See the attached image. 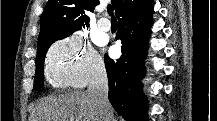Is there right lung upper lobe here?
Segmentation results:
<instances>
[{
    "mask_svg": "<svg viewBox=\"0 0 217 121\" xmlns=\"http://www.w3.org/2000/svg\"><path fill=\"white\" fill-rule=\"evenodd\" d=\"M116 15L127 5V0H111ZM99 0H49L40 22L38 45L62 39L82 26L88 27V11L93 12Z\"/></svg>",
    "mask_w": 217,
    "mask_h": 121,
    "instance_id": "right-lung-upper-lobe-1",
    "label": "right lung upper lobe"
}]
</instances>
